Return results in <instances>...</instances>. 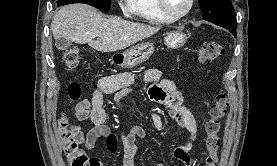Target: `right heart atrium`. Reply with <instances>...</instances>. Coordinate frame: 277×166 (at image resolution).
I'll return each instance as SVG.
<instances>
[{"mask_svg":"<svg viewBox=\"0 0 277 166\" xmlns=\"http://www.w3.org/2000/svg\"><path fill=\"white\" fill-rule=\"evenodd\" d=\"M118 3L125 12L130 11L132 8V0H118Z\"/></svg>","mask_w":277,"mask_h":166,"instance_id":"right-heart-atrium-1","label":"right heart atrium"}]
</instances>
